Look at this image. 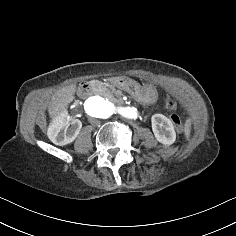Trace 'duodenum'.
Instances as JSON below:
<instances>
[{
	"mask_svg": "<svg viewBox=\"0 0 236 236\" xmlns=\"http://www.w3.org/2000/svg\"><path fill=\"white\" fill-rule=\"evenodd\" d=\"M121 78L120 77H112L108 79V82L111 84H120L121 83ZM93 84L91 82H84L83 84H81V86L79 87V94L82 97H86L89 95V93L91 92Z\"/></svg>",
	"mask_w": 236,
	"mask_h": 236,
	"instance_id": "duodenum-1",
	"label": "duodenum"
}]
</instances>
